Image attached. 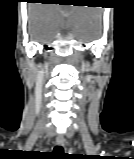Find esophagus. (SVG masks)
Masks as SVG:
<instances>
[{
	"mask_svg": "<svg viewBox=\"0 0 134 159\" xmlns=\"http://www.w3.org/2000/svg\"><path fill=\"white\" fill-rule=\"evenodd\" d=\"M56 143L58 146H64L65 145V139L63 136H58L56 138Z\"/></svg>",
	"mask_w": 134,
	"mask_h": 159,
	"instance_id": "34e87169",
	"label": "esophagus"
}]
</instances>
